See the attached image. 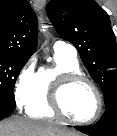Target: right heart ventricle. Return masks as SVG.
I'll return each mask as SVG.
<instances>
[{"instance_id":"1","label":"right heart ventricle","mask_w":117,"mask_h":136,"mask_svg":"<svg viewBox=\"0 0 117 136\" xmlns=\"http://www.w3.org/2000/svg\"><path fill=\"white\" fill-rule=\"evenodd\" d=\"M55 65L38 71L37 93L26 106V113L34 118H51L55 115L49 103L50 90L55 79L63 73L78 72L80 65L76 59L55 52Z\"/></svg>"}]
</instances>
